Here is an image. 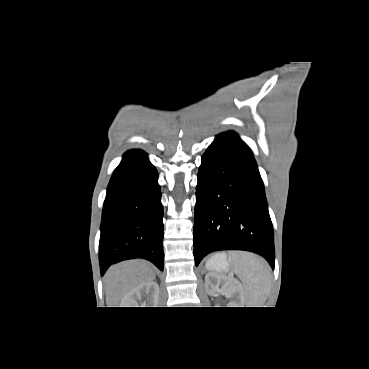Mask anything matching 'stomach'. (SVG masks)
Segmentation results:
<instances>
[{
	"label": "stomach",
	"mask_w": 369,
	"mask_h": 369,
	"mask_svg": "<svg viewBox=\"0 0 369 369\" xmlns=\"http://www.w3.org/2000/svg\"><path fill=\"white\" fill-rule=\"evenodd\" d=\"M206 268L217 272H227L229 270V265L226 255L224 253H218L217 255H214L207 261Z\"/></svg>",
	"instance_id": "0dacf381"
}]
</instances>
